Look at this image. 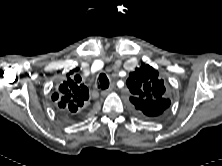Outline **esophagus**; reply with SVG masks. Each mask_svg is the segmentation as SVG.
Here are the masks:
<instances>
[{
	"instance_id": "esophagus-1",
	"label": "esophagus",
	"mask_w": 222,
	"mask_h": 166,
	"mask_svg": "<svg viewBox=\"0 0 222 166\" xmlns=\"http://www.w3.org/2000/svg\"><path fill=\"white\" fill-rule=\"evenodd\" d=\"M114 88H115V85L112 84V85L110 86V88L101 91V95H102L103 97L107 96L109 93H111V92L114 90Z\"/></svg>"
}]
</instances>
